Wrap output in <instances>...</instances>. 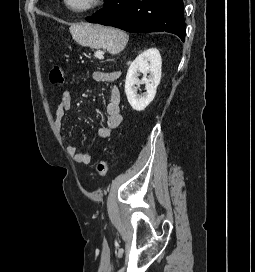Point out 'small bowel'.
I'll list each match as a JSON object with an SVG mask.
<instances>
[{"instance_id": "obj_1", "label": "small bowel", "mask_w": 255, "mask_h": 272, "mask_svg": "<svg viewBox=\"0 0 255 272\" xmlns=\"http://www.w3.org/2000/svg\"><path fill=\"white\" fill-rule=\"evenodd\" d=\"M119 71H95L92 78L97 82L110 83L119 77ZM73 100V94L70 90L62 93L59 101L55 107L54 124L58 131H62L63 118L69 110ZM121 94L117 87L110 90L109 101L106 106V123L98 129V135L101 138L110 137L121 125L122 116L120 113ZM69 152L77 163L88 164L90 162V155L86 152L78 151L74 144L69 145Z\"/></svg>"}]
</instances>
